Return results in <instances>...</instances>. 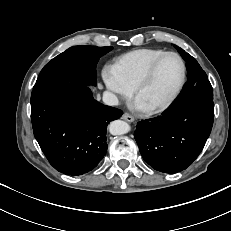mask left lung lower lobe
<instances>
[{
    "label": "left lung lower lobe",
    "mask_w": 231,
    "mask_h": 231,
    "mask_svg": "<svg viewBox=\"0 0 231 231\" xmlns=\"http://www.w3.org/2000/svg\"><path fill=\"white\" fill-rule=\"evenodd\" d=\"M213 119V100L176 101L161 116L139 122L135 140L143 159L152 168L164 173L180 172L202 151Z\"/></svg>",
    "instance_id": "1"
}]
</instances>
